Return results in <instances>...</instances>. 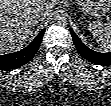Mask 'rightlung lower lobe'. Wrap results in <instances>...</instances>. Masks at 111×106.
Segmentation results:
<instances>
[{"label": "right lung lower lobe", "mask_w": 111, "mask_h": 106, "mask_svg": "<svg viewBox=\"0 0 111 106\" xmlns=\"http://www.w3.org/2000/svg\"><path fill=\"white\" fill-rule=\"evenodd\" d=\"M44 32L45 29L24 49L14 53L0 55V70L15 69L29 62L37 52Z\"/></svg>", "instance_id": "right-lung-lower-lobe-1"}]
</instances>
